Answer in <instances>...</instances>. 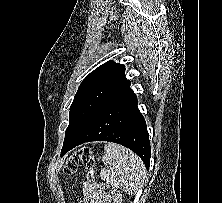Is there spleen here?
Masks as SVG:
<instances>
[{"mask_svg": "<svg viewBox=\"0 0 222 203\" xmlns=\"http://www.w3.org/2000/svg\"><path fill=\"white\" fill-rule=\"evenodd\" d=\"M104 149L103 161L108 166L101 171V179L128 194H134L142 188L146 178V169L139 156L115 143H108Z\"/></svg>", "mask_w": 222, "mask_h": 203, "instance_id": "1", "label": "spleen"}]
</instances>
